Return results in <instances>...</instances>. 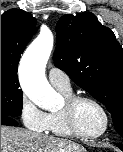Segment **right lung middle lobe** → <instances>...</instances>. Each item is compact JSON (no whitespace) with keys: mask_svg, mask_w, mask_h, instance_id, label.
Returning a JSON list of instances; mask_svg holds the SVG:
<instances>
[{"mask_svg":"<svg viewBox=\"0 0 123 152\" xmlns=\"http://www.w3.org/2000/svg\"><path fill=\"white\" fill-rule=\"evenodd\" d=\"M19 87L16 73L1 72V116L21 115L23 93Z\"/></svg>","mask_w":123,"mask_h":152,"instance_id":"1","label":"right lung middle lobe"}]
</instances>
